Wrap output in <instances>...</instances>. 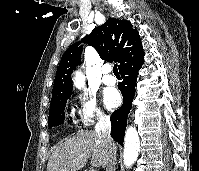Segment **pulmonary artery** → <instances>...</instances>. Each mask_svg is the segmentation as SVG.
<instances>
[{"label":"pulmonary artery","instance_id":"e3ab8cb5","mask_svg":"<svg viewBox=\"0 0 199 171\" xmlns=\"http://www.w3.org/2000/svg\"><path fill=\"white\" fill-rule=\"evenodd\" d=\"M102 82L105 84V85H108V86H112V85H115L116 83V78L115 76L111 73V66L110 65H104L102 67Z\"/></svg>","mask_w":199,"mask_h":171}]
</instances>
